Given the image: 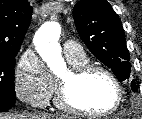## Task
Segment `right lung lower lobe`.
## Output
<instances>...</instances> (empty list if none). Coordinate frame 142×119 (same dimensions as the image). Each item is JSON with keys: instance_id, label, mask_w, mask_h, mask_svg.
Returning a JSON list of instances; mask_svg holds the SVG:
<instances>
[{"instance_id": "98d812e1", "label": "right lung lower lobe", "mask_w": 142, "mask_h": 119, "mask_svg": "<svg viewBox=\"0 0 142 119\" xmlns=\"http://www.w3.org/2000/svg\"><path fill=\"white\" fill-rule=\"evenodd\" d=\"M15 104V101L0 98V111H6Z\"/></svg>"}]
</instances>
